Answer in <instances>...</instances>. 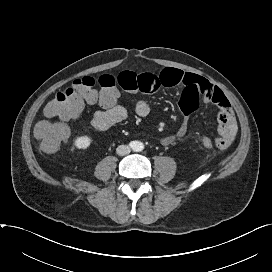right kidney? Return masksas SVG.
Listing matches in <instances>:
<instances>
[{
	"label": "right kidney",
	"instance_id": "1",
	"mask_svg": "<svg viewBox=\"0 0 272 272\" xmlns=\"http://www.w3.org/2000/svg\"><path fill=\"white\" fill-rule=\"evenodd\" d=\"M91 144V138L89 136L77 137L74 141V145L78 149H87Z\"/></svg>",
	"mask_w": 272,
	"mask_h": 272
}]
</instances>
